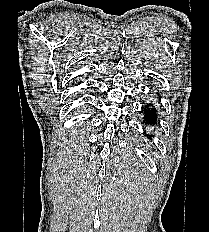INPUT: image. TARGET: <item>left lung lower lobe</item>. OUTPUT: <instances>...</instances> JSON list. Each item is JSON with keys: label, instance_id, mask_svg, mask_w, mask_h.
<instances>
[{"label": "left lung lower lobe", "instance_id": "left-lung-lower-lobe-1", "mask_svg": "<svg viewBox=\"0 0 209 232\" xmlns=\"http://www.w3.org/2000/svg\"><path fill=\"white\" fill-rule=\"evenodd\" d=\"M144 121L145 125H156L158 123V114L156 113V107L152 104H147L143 109Z\"/></svg>", "mask_w": 209, "mask_h": 232}]
</instances>
